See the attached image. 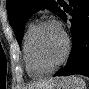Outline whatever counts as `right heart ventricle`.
Returning a JSON list of instances; mask_svg holds the SVG:
<instances>
[{
	"label": "right heart ventricle",
	"mask_w": 89,
	"mask_h": 89,
	"mask_svg": "<svg viewBox=\"0 0 89 89\" xmlns=\"http://www.w3.org/2000/svg\"><path fill=\"white\" fill-rule=\"evenodd\" d=\"M35 27L36 24L34 22H30L26 27L23 38V58L27 74L32 78H40L46 75V73L36 68L33 59L31 57V51H30V40Z\"/></svg>",
	"instance_id": "1"
}]
</instances>
